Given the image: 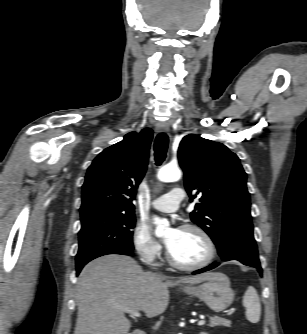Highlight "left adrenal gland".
Here are the masks:
<instances>
[{"label":"left adrenal gland","mask_w":307,"mask_h":334,"mask_svg":"<svg viewBox=\"0 0 307 334\" xmlns=\"http://www.w3.org/2000/svg\"><path fill=\"white\" fill-rule=\"evenodd\" d=\"M200 334H207V333H205V332H201Z\"/></svg>","instance_id":"obj_1"}]
</instances>
